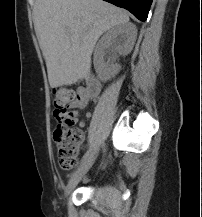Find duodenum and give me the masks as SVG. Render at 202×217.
<instances>
[{"label": "duodenum", "instance_id": "duodenum-1", "mask_svg": "<svg viewBox=\"0 0 202 217\" xmlns=\"http://www.w3.org/2000/svg\"><path fill=\"white\" fill-rule=\"evenodd\" d=\"M100 90H101L100 82L96 78L90 76L88 78V83H87V93L89 95H97L99 94Z\"/></svg>", "mask_w": 202, "mask_h": 217}]
</instances>
